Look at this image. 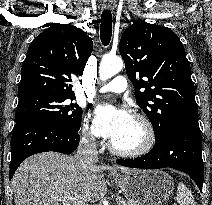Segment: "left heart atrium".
<instances>
[{
    "mask_svg": "<svg viewBox=\"0 0 212 205\" xmlns=\"http://www.w3.org/2000/svg\"><path fill=\"white\" fill-rule=\"evenodd\" d=\"M131 120L132 116L124 109H116L108 105L100 106L96 110L95 131L98 135L113 140Z\"/></svg>",
    "mask_w": 212,
    "mask_h": 205,
    "instance_id": "1",
    "label": "left heart atrium"
}]
</instances>
